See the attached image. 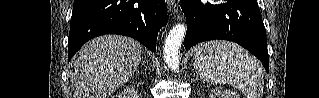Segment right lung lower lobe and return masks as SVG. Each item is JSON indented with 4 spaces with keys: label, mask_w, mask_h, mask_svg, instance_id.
Instances as JSON below:
<instances>
[{
    "label": "right lung lower lobe",
    "mask_w": 319,
    "mask_h": 98,
    "mask_svg": "<svg viewBox=\"0 0 319 98\" xmlns=\"http://www.w3.org/2000/svg\"><path fill=\"white\" fill-rule=\"evenodd\" d=\"M166 23L165 0H75L68 62L85 42L104 34L130 36L155 52L158 31Z\"/></svg>",
    "instance_id": "98d812e1"
}]
</instances>
